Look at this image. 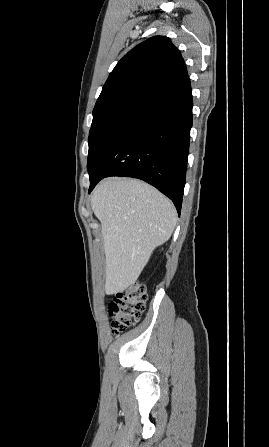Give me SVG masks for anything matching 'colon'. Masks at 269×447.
I'll use <instances>...</instances> for the list:
<instances>
[{
	"label": "colon",
	"mask_w": 269,
	"mask_h": 447,
	"mask_svg": "<svg viewBox=\"0 0 269 447\" xmlns=\"http://www.w3.org/2000/svg\"><path fill=\"white\" fill-rule=\"evenodd\" d=\"M145 287L136 283L117 291L108 307L112 317V330L117 333L135 325L144 311Z\"/></svg>",
	"instance_id": "5ec220e1"
}]
</instances>
